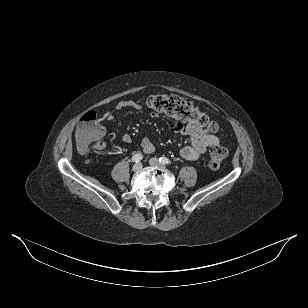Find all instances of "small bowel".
I'll list each match as a JSON object with an SVG mask.
<instances>
[{"label":"small bowel","instance_id":"c3829d8e","mask_svg":"<svg viewBox=\"0 0 308 308\" xmlns=\"http://www.w3.org/2000/svg\"><path fill=\"white\" fill-rule=\"evenodd\" d=\"M116 109L121 111L128 108L134 110H140V106L134 101H126L122 100L116 104ZM152 117H156L157 113L153 112ZM114 119V115L112 112H105L101 120L112 121ZM105 131V129H104ZM174 131L179 135H188L190 138V145L183 147L180 150V156L186 160H196L201 155H203L208 148H211L215 145H219V139L216 135L211 132H208L204 129H201L194 125H184L180 122L174 125ZM105 134V133H104ZM121 141L125 144H128L132 141V137L130 134H124L121 137ZM141 147L146 154H150L154 151V145L148 138H143L141 141ZM105 148L104 142L99 147V149Z\"/></svg>","mask_w":308,"mask_h":308}]
</instances>
